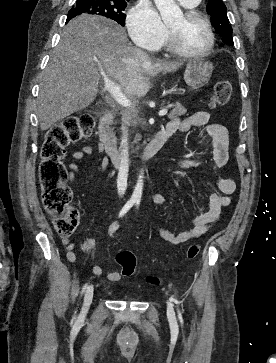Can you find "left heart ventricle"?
<instances>
[{"label": "left heart ventricle", "instance_id": "left-heart-ventricle-1", "mask_svg": "<svg viewBox=\"0 0 276 363\" xmlns=\"http://www.w3.org/2000/svg\"><path fill=\"white\" fill-rule=\"evenodd\" d=\"M169 27L174 31L179 43L191 52H201L208 45V33L201 21H188L182 15Z\"/></svg>", "mask_w": 276, "mask_h": 363}]
</instances>
